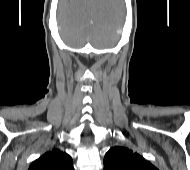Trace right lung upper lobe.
Returning <instances> with one entry per match:
<instances>
[{"instance_id": "1", "label": "right lung upper lobe", "mask_w": 190, "mask_h": 170, "mask_svg": "<svg viewBox=\"0 0 190 170\" xmlns=\"http://www.w3.org/2000/svg\"><path fill=\"white\" fill-rule=\"evenodd\" d=\"M28 170H74V167L70 155L53 149L35 160Z\"/></svg>"}]
</instances>
